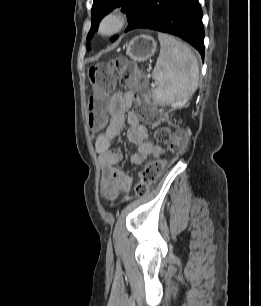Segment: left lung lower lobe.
I'll use <instances>...</instances> for the list:
<instances>
[{
	"label": "left lung lower lobe",
	"instance_id": "obj_1",
	"mask_svg": "<svg viewBox=\"0 0 261 306\" xmlns=\"http://www.w3.org/2000/svg\"><path fill=\"white\" fill-rule=\"evenodd\" d=\"M137 28L178 36L204 58V29L198 0H145L125 32Z\"/></svg>",
	"mask_w": 261,
	"mask_h": 306
}]
</instances>
